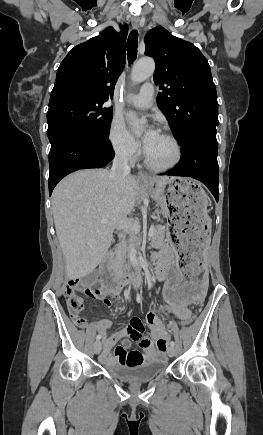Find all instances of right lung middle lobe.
<instances>
[{"label": "right lung middle lobe", "mask_w": 263, "mask_h": 435, "mask_svg": "<svg viewBox=\"0 0 263 435\" xmlns=\"http://www.w3.org/2000/svg\"><path fill=\"white\" fill-rule=\"evenodd\" d=\"M103 100H70L49 106L47 112L50 142L64 131H79L99 139H107L112 109Z\"/></svg>", "instance_id": "obj_1"}]
</instances>
